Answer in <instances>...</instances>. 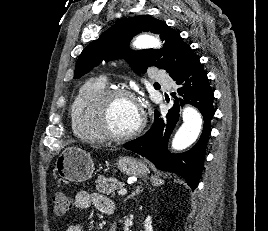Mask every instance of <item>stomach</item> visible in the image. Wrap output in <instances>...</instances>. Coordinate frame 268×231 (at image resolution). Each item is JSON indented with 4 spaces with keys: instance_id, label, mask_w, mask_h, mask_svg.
Instances as JSON below:
<instances>
[{
    "instance_id": "stomach-1",
    "label": "stomach",
    "mask_w": 268,
    "mask_h": 231,
    "mask_svg": "<svg viewBox=\"0 0 268 231\" xmlns=\"http://www.w3.org/2000/svg\"><path fill=\"white\" fill-rule=\"evenodd\" d=\"M117 167L127 176L144 177L149 171L142 160L127 156L118 159ZM94 169L90 153L75 146L65 148L55 162V170L58 175L70 182L87 181L92 177Z\"/></svg>"
}]
</instances>
